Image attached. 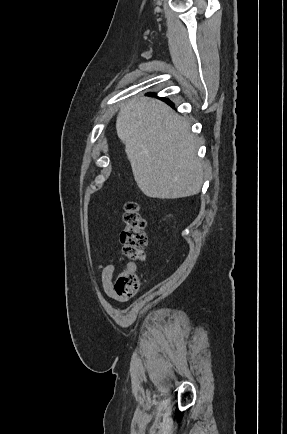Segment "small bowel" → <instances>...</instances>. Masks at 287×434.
Returning a JSON list of instances; mask_svg holds the SVG:
<instances>
[{"label":"small bowel","instance_id":"obj_1","mask_svg":"<svg viewBox=\"0 0 287 434\" xmlns=\"http://www.w3.org/2000/svg\"><path fill=\"white\" fill-rule=\"evenodd\" d=\"M116 271L114 264L100 265V281L101 286L105 294L115 300H123V298L118 297L113 289V276Z\"/></svg>","mask_w":287,"mask_h":434}]
</instances>
